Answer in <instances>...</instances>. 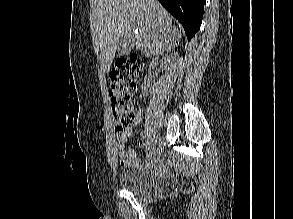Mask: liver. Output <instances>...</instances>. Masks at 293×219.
I'll return each mask as SVG.
<instances>
[{
  "label": "liver",
  "mask_w": 293,
  "mask_h": 219,
  "mask_svg": "<svg viewBox=\"0 0 293 219\" xmlns=\"http://www.w3.org/2000/svg\"><path fill=\"white\" fill-rule=\"evenodd\" d=\"M135 29L136 34L132 32ZM128 35L147 57L171 51L182 37L157 0H96L92 40L105 72L110 69L121 37Z\"/></svg>",
  "instance_id": "1"
}]
</instances>
